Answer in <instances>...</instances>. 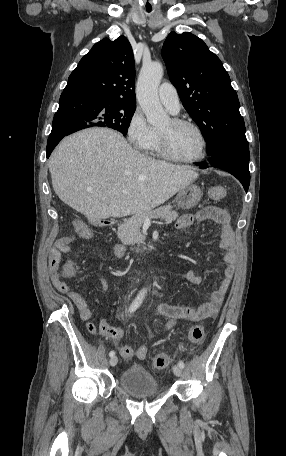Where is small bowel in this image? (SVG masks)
Segmentation results:
<instances>
[{
	"mask_svg": "<svg viewBox=\"0 0 286 456\" xmlns=\"http://www.w3.org/2000/svg\"><path fill=\"white\" fill-rule=\"evenodd\" d=\"M206 221H213L221 225V247L225 250L224 261L227 264L224 270V277L220 281L218 288L211 294L210 299L200 306L193 307L159 303L157 311L170 318V321L166 326L167 330L175 327L179 320L199 321L214 316L217 313L233 278L237 259L236 242L231 225V216L227 209L221 207H204L195 214H185L177 219L176 228L183 230L191 227L194 223H203ZM83 237L89 239L91 238V233ZM72 243L73 237L67 236L58 240L56 248L51 250L49 258L51 281L58 291L67 295L77 309L80 318L87 321V330L91 334H94L97 331V326L90 321L92 314L85 299L80 293L72 290L56 273V270L59 267L61 254L70 251ZM111 252L117 259H123L126 256V248L122 245H114L111 248ZM90 277L99 281L102 292L107 290L108 285L103 277L96 273L89 275L87 278ZM186 278L193 285H199L202 282V277L194 270H189L186 274ZM98 328L102 335L114 343H119L123 337V329L110 326L105 319H100ZM119 352L125 359H131L134 356V350L129 345L119 346Z\"/></svg>",
	"mask_w": 286,
	"mask_h": 456,
	"instance_id": "small-bowel-1",
	"label": "small bowel"
}]
</instances>
